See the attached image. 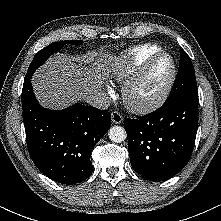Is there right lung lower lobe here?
Wrapping results in <instances>:
<instances>
[{
  "instance_id": "98d812e1",
  "label": "right lung lower lobe",
  "mask_w": 221,
  "mask_h": 221,
  "mask_svg": "<svg viewBox=\"0 0 221 221\" xmlns=\"http://www.w3.org/2000/svg\"><path fill=\"white\" fill-rule=\"evenodd\" d=\"M27 74L22 89L23 121L29 154L50 179L76 184L87 179L93 166L90 154L111 125V113L76 103L61 111L37 102Z\"/></svg>"
}]
</instances>
